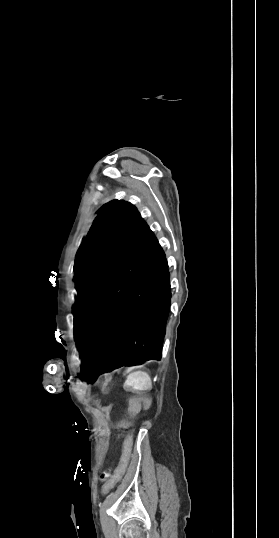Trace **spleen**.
I'll return each mask as SVG.
<instances>
[{
  "label": "spleen",
  "instance_id": "spleen-1",
  "mask_svg": "<svg viewBox=\"0 0 279 538\" xmlns=\"http://www.w3.org/2000/svg\"><path fill=\"white\" fill-rule=\"evenodd\" d=\"M127 383L134 394L151 393V388H148V386H151V379L146 372H133V375L129 376Z\"/></svg>",
  "mask_w": 279,
  "mask_h": 538
}]
</instances>
